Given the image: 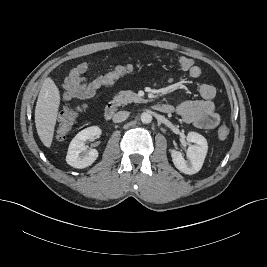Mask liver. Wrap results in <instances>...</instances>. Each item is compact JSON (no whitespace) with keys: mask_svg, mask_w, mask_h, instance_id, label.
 I'll return each instance as SVG.
<instances>
[{"mask_svg":"<svg viewBox=\"0 0 267 267\" xmlns=\"http://www.w3.org/2000/svg\"><path fill=\"white\" fill-rule=\"evenodd\" d=\"M59 104V89L51 78H46L35 107V124L40 140L48 148L52 144Z\"/></svg>","mask_w":267,"mask_h":267,"instance_id":"obj_1","label":"liver"}]
</instances>
